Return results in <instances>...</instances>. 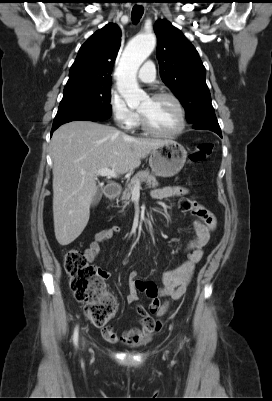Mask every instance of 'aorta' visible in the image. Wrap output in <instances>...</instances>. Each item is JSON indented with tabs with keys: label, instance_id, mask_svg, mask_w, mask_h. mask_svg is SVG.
<instances>
[{
	"label": "aorta",
	"instance_id": "1",
	"mask_svg": "<svg viewBox=\"0 0 272 401\" xmlns=\"http://www.w3.org/2000/svg\"><path fill=\"white\" fill-rule=\"evenodd\" d=\"M153 34L135 37L126 46L116 70L117 89L129 107H136L147 99V94L139 88L136 75L141 64L155 48Z\"/></svg>",
	"mask_w": 272,
	"mask_h": 401
}]
</instances>
